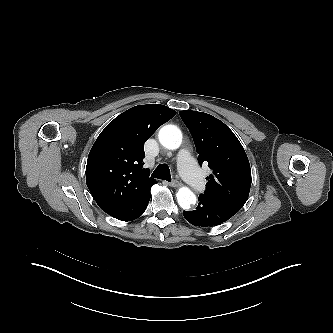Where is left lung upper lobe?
I'll use <instances>...</instances> for the list:
<instances>
[{
	"label": "left lung upper lobe",
	"mask_w": 333,
	"mask_h": 333,
	"mask_svg": "<svg viewBox=\"0 0 333 333\" xmlns=\"http://www.w3.org/2000/svg\"><path fill=\"white\" fill-rule=\"evenodd\" d=\"M199 154L212 174L202 196L236 214L246 203L251 186L247 155L234 133L219 119L203 112L180 111Z\"/></svg>",
	"instance_id": "5c2ea615"
}]
</instances>
